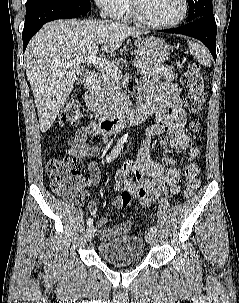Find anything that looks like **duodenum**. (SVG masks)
<instances>
[{"label": "duodenum", "mask_w": 239, "mask_h": 303, "mask_svg": "<svg viewBox=\"0 0 239 303\" xmlns=\"http://www.w3.org/2000/svg\"><path fill=\"white\" fill-rule=\"evenodd\" d=\"M98 74L90 72L84 82V90L81 96L82 104L87 105L90 94L97 86ZM152 110L148 106L142 105L133 110H120L102 116L97 126L102 133L110 134L122 129L127 124H140L151 114Z\"/></svg>", "instance_id": "1"}]
</instances>
